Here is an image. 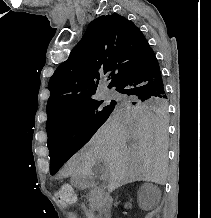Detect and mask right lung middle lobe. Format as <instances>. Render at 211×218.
Returning a JSON list of instances; mask_svg holds the SVG:
<instances>
[{
	"instance_id": "right-lung-middle-lobe-1",
	"label": "right lung middle lobe",
	"mask_w": 211,
	"mask_h": 218,
	"mask_svg": "<svg viewBox=\"0 0 211 218\" xmlns=\"http://www.w3.org/2000/svg\"><path fill=\"white\" fill-rule=\"evenodd\" d=\"M104 103V104H103ZM131 107L145 105L159 111L167 109L166 98L123 97L105 102L90 100L58 119L54 126L47 130L48 147L71 148L75 153L83 147L98 128L108 119L115 106ZM65 161L50 160V174H55Z\"/></svg>"
}]
</instances>
